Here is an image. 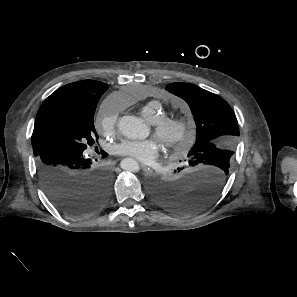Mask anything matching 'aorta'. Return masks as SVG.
Here are the masks:
<instances>
[{"mask_svg": "<svg viewBox=\"0 0 297 297\" xmlns=\"http://www.w3.org/2000/svg\"><path fill=\"white\" fill-rule=\"evenodd\" d=\"M118 129L128 139L145 138L148 134L147 126L135 116H123L118 121ZM121 168L128 172H138L139 164L132 158H125L121 161Z\"/></svg>", "mask_w": 297, "mask_h": 297, "instance_id": "aorta-1", "label": "aorta"}]
</instances>
